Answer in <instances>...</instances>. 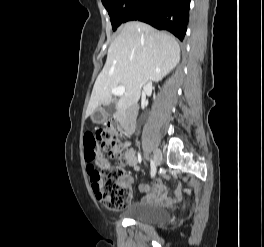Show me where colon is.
Returning a JSON list of instances; mask_svg holds the SVG:
<instances>
[{
    "instance_id": "1",
    "label": "colon",
    "mask_w": 264,
    "mask_h": 247,
    "mask_svg": "<svg viewBox=\"0 0 264 247\" xmlns=\"http://www.w3.org/2000/svg\"><path fill=\"white\" fill-rule=\"evenodd\" d=\"M120 134V125L116 121H110L106 127L99 128L84 138L85 158L88 162L95 163L88 167L92 190L97 199L111 211L125 209L131 202V190L122 171L106 165L102 160V153H107L114 159L120 158Z\"/></svg>"
}]
</instances>
